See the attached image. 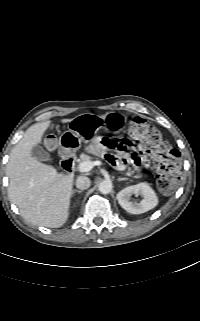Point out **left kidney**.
Instances as JSON below:
<instances>
[{
    "instance_id": "obj_1",
    "label": "left kidney",
    "mask_w": 200,
    "mask_h": 321,
    "mask_svg": "<svg viewBox=\"0 0 200 321\" xmlns=\"http://www.w3.org/2000/svg\"><path fill=\"white\" fill-rule=\"evenodd\" d=\"M141 195L140 202H133L131 196ZM120 206L131 214H142L153 209L158 204V198L153 189L147 183H139L128 186L117 194Z\"/></svg>"
}]
</instances>
